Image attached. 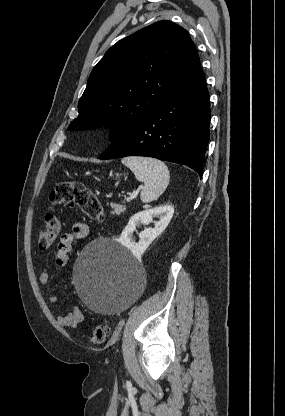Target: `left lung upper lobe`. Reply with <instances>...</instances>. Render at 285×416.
<instances>
[{
	"mask_svg": "<svg viewBox=\"0 0 285 416\" xmlns=\"http://www.w3.org/2000/svg\"><path fill=\"white\" fill-rule=\"evenodd\" d=\"M200 68L182 27L162 20L120 40L92 70L68 130L105 127L114 142L182 88Z\"/></svg>",
	"mask_w": 285,
	"mask_h": 416,
	"instance_id": "left-lung-upper-lobe-1",
	"label": "left lung upper lobe"
}]
</instances>
